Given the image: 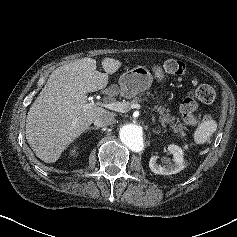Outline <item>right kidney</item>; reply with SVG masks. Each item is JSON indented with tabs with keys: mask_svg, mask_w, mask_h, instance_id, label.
Returning a JSON list of instances; mask_svg holds the SVG:
<instances>
[{
	"mask_svg": "<svg viewBox=\"0 0 237 237\" xmlns=\"http://www.w3.org/2000/svg\"><path fill=\"white\" fill-rule=\"evenodd\" d=\"M76 149L71 150V155L75 154Z\"/></svg>",
	"mask_w": 237,
	"mask_h": 237,
	"instance_id": "ca27d5eb",
	"label": "right kidney"
}]
</instances>
